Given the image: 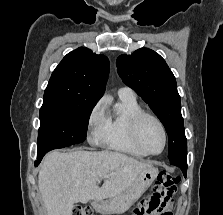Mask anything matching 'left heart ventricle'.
Instances as JSON below:
<instances>
[{
	"instance_id": "b2bd125f",
	"label": "left heart ventricle",
	"mask_w": 223,
	"mask_h": 215,
	"mask_svg": "<svg viewBox=\"0 0 223 215\" xmlns=\"http://www.w3.org/2000/svg\"><path fill=\"white\" fill-rule=\"evenodd\" d=\"M139 144L142 151L158 152L162 146V134L151 119H144L139 128Z\"/></svg>"
}]
</instances>
